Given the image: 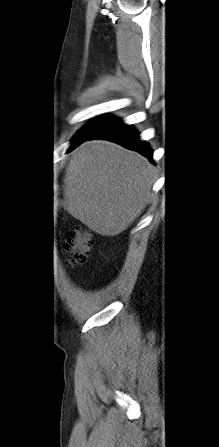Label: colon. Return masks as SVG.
I'll return each instance as SVG.
<instances>
[{
    "label": "colon",
    "instance_id": "colon-1",
    "mask_svg": "<svg viewBox=\"0 0 219 447\" xmlns=\"http://www.w3.org/2000/svg\"><path fill=\"white\" fill-rule=\"evenodd\" d=\"M92 246L91 234L82 229L70 231L64 242V249L69 253L68 264L75 266L84 263Z\"/></svg>",
    "mask_w": 219,
    "mask_h": 447
}]
</instances>
